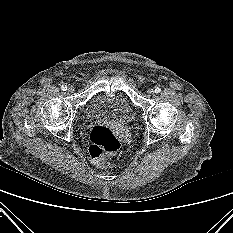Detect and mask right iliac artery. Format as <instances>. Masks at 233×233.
<instances>
[{
  "label": "right iliac artery",
  "mask_w": 233,
  "mask_h": 233,
  "mask_svg": "<svg viewBox=\"0 0 233 233\" xmlns=\"http://www.w3.org/2000/svg\"><path fill=\"white\" fill-rule=\"evenodd\" d=\"M61 90L66 91L67 90V86L66 85H62L61 86Z\"/></svg>",
  "instance_id": "right-iliac-artery-1"
}]
</instances>
